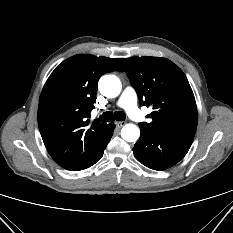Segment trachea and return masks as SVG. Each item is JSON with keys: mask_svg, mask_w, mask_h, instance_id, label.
I'll use <instances>...</instances> for the list:
<instances>
[{"mask_svg": "<svg viewBox=\"0 0 233 233\" xmlns=\"http://www.w3.org/2000/svg\"><path fill=\"white\" fill-rule=\"evenodd\" d=\"M125 119H126V115L122 111H117L115 113L107 111L101 115L99 120L101 122H111L114 120L124 121Z\"/></svg>", "mask_w": 233, "mask_h": 233, "instance_id": "3493384b", "label": "trachea"}]
</instances>
